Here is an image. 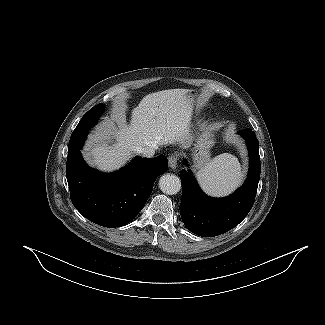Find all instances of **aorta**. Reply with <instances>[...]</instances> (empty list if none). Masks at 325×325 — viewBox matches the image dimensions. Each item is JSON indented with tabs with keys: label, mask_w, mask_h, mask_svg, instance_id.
Wrapping results in <instances>:
<instances>
[{
	"label": "aorta",
	"mask_w": 325,
	"mask_h": 325,
	"mask_svg": "<svg viewBox=\"0 0 325 325\" xmlns=\"http://www.w3.org/2000/svg\"><path fill=\"white\" fill-rule=\"evenodd\" d=\"M159 187L163 193L174 195L180 191L181 181L176 175L167 173L160 177Z\"/></svg>",
	"instance_id": "1"
}]
</instances>
